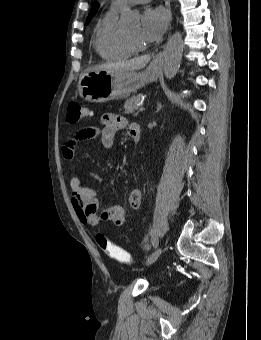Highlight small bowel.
<instances>
[{
    "label": "small bowel",
    "instance_id": "small-bowel-1",
    "mask_svg": "<svg viewBox=\"0 0 261 340\" xmlns=\"http://www.w3.org/2000/svg\"><path fill=\"white\" fill-rule=\"evenodd\" d=\"M127 129L129 136L138 144L140 141V128L136 123L128 121L118 115L104 114L100 118L99 127H85L78 130L74 137L67 141L62 147V155L71 160L75 156L78 141L100 138L104 148H112L117 131ZM135 138L137 140H135ZM70 199L79 220L88 226H97L100 222H112L121 226L127 220V211L123 206L115 205L100 210L98 192L90 187L83 186L79 176H73L70 180ZM142 194L139 189H134L129 195V203L133 209H139Z\"/></svg>",
    "mask_w": 261,
    "mask_h": 340
}]
</instances>
